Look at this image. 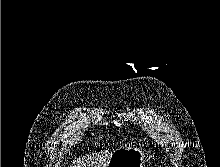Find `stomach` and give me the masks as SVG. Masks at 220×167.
<instances>
[{
  "label": "stomach",
  "mask_w": 220,
  "mask_h": 167,
  "mask_svg": "<svg viewBox=\"0 0 220 167\" xmlns=\"http://www.w3.org/2000/svg\"><path fill=\"white\" fill-rule=\"evenodd\" d=\"M147 157L136 147L125 146L115 150L106 167H145Z\"/></svg>",
  "instance_id": "stomach-1"
}]
</instances>
